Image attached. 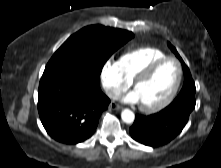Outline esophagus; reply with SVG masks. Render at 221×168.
I'll return each instance as SVG.
<instances>
[{"label": "esophagus", "instance_id": "1", "mask_svg": "<svg viewBox=\"0 0 221 168\" xmlns=\"http://www.w3.org/2000/svg\"><path fill=\"white\" fill-rule=\"evenodd\" d=\"M109 108L114 109V110H120V109H122V106H120V105H118L114 102H111L110 105H109Z\"/></svg>", "mask_w": 221, "mask_h": 168}]
</instances>
